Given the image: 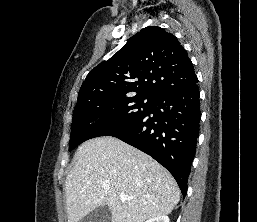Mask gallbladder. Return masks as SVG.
I'll use <instances>...</instances> for the list:
<instances>
[{
	"label": "gallbladder",
	"mask_w": 257,
	"mask_h": 222,
	"mask_svg": "<svg viewBox=\"0 0 257 222\" xmlns=\"http://www.w3.org/2000/svg\"><path fill=\"white\" fill-rule=\"evenodd\" d=\"M81 222H112L111 211L108 206H100L83 217Z\"/></svg>",
	"instance_id": "gallbladder-1"
}]
</instances>
